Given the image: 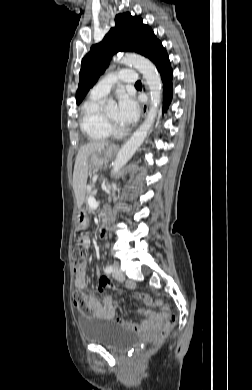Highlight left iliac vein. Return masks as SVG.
Masks as SVG:
<instances>
[{
    "mask_svg": "<svg viewBox=\"0 0 252 390\" xmlns=\"http://www.w3.org/2000/svg\"><path fill=\"white\" fill-rule=\"evenodd\" d=\"M112 275L113 277L117 280V281H124L125 279V276L124 274L121 272V270L119 269L118 266H115L114 269H113V272H112Z\"/></svg>",
    "mask_w": 252,
    "mask_h": 390,
    "instance_id": "4c4485c4",
    "label": "left iliac vein"
}]
</instances>
